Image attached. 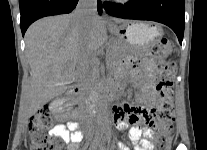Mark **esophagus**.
Masks as SVG:
<instances>
[{"mask_svg":"<svg viewBox=\"0 0 207 150\" xmlns=\"http://www.w3.org/2000/svg\"><path fill=\"white\" fill-rule=\"evenodd\" d=\"M103 20L106 23H110L112 21L111 17L106 12L103 13Z\"/></svg>","mask_w":207,"mask_h":150,"instance_id":"obj_1","label":"esophagus"}]
</instances>
